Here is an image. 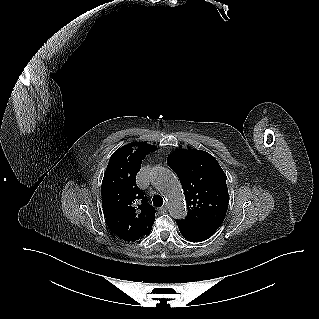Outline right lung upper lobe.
Listing matches in <instances>:
<instances>
[{
	"mask_svg": "<svg viewBox=\"0 0 319 319\" xmlns=\"http://www.w3.org/2000/svg\"><path fill=\"white\" fill-rule=\"evenodd\" d=\"M156 149L144 142L129 143L112 154L104 174L101 195L106 221L120 239L128 242L148 235L155 220L156 210L135 179L142 160Z\"/></svg>",
	"mask_w": 319,
	"mask_h": 319,
	"instance_id": "obj_1",
	"label": "right lung upper lobe"
}]
</instances>
